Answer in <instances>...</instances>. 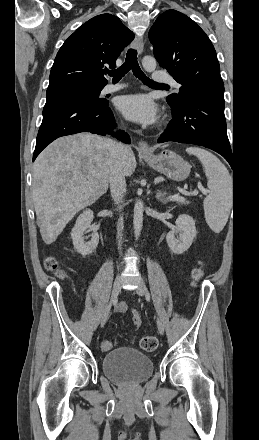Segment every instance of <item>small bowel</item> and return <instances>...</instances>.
<instances>
[{
  "mask_svg": "<svg viewBox=\"0 0 259 440\" xmlns=\"http://www.w3.org/2000/svg\"><path fill=\"white\" fill-rule=\"evenodd\" d=\"M117 311L119 313H125L127 311V305L125 303H121L118 306ZM132 322L136 327H140L142 324V317L137 311H133ZM111 348V343L109 341H104L102 343V350L108 351Z\"/></svg>",
  "mask_w": 259,
  "mask_h": 440,
  "instance_id": "1",
  "label": "small bowel"
}]
</instances>
